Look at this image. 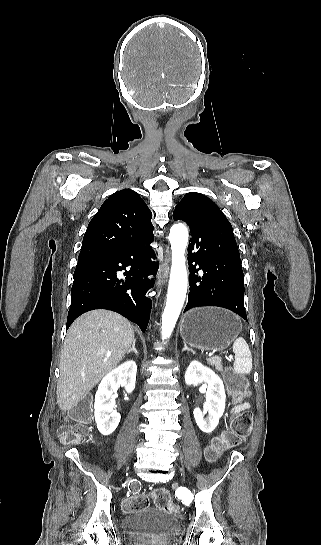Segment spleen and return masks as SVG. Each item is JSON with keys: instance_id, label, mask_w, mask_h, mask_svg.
Returning a JSON list of instances; mask_svg holds the SVG:
<instances>
[{"instance_id": "1", "label": "spleen", "mask_w": 321, "mask_h": 545, "mask_svg": "<svg viewBox=\"0 0 321 545\" xmlns=\"http://www.w3.org/2000/svg\"><path fill=\"white\" fill-rule=\"evenodd\" d=\"M233 353H235L234 371L237 375H249L252 371V357L250 349L243 337H238L233 343Z\"/></svg>"}]
</instances>
